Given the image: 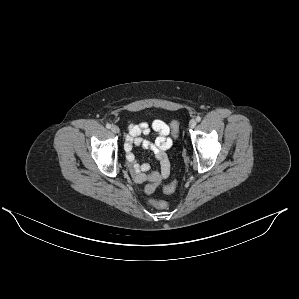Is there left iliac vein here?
Instances as JSON below:
<instances>
[{
	"label": "left iliac vein",
	"instance_id": "obj_1",
	"mask_svg": "<svg viewBox=\"0 0 299 299\" xmlns=\"http://www.w3.org/2000/svg\"><path fill=\"white\" fill-rule=\"evenodd\" d=\"M196 124H197L196 120H195V119H192V120H190V122H189V127H190V128H194V127L196 126Z\"/></svg>",
	"mask_w": 299,
	"mask_h": 299
}]
</instances>
